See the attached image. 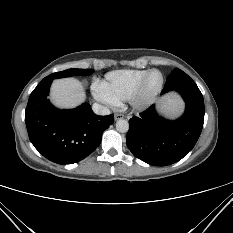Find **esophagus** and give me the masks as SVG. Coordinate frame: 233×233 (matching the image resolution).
<instances>
[{
    "mask_svg": "<svg viewBox=\"0 0 233 233\" xmlns=\"http://www.w3.org/2000/svg\"><path fill=\"white\" fill-rule=\"evenodd\" d=\"M122 118H123V115L120 114V113H116V114L114 115L115 121L120 120V119H122Z\"/></svg>",
    "mask_w": 233,
    "mask_h": 233,
    "instance_id": "esophagus-1",
    "label": "esophagus"
}]
</instances>
